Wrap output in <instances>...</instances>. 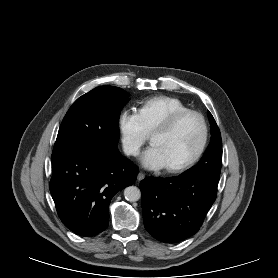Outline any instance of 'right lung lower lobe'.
I'll return each instance as SVG.
<instances>
[{
  "instance_id": "obj_1",
  "label": "right lung lower lobe",
  "mask_w": 278,
  "mask_h": 278,
  "mask_svg": "<svg viewBox=\"0 0 278 278\" xmlns=\"http://www.w3.org/2000/svg\"><path fill=\"white\" fill-rule=\"evenodd\" d=\"M50 192L63 224L81 236H94L109 223L112 197L132 185L138 168L117 145L96 144L52 155Z\"/></svg>"
}]
</instances>
